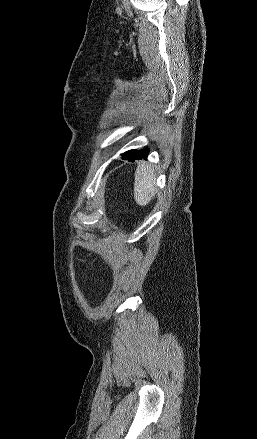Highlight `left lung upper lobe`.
<instances>
[{
  "mask_svg": "<svg viewBox=\"0 0 257 439\" xmlns=\"http://www.w3.org/2000/svg\"><path fill=\"white\" fill-rule=\"evenodd\" d=\"M132 151H133V150H129V151H127V152H125L124 154H121V155H122V157H123V156H127V155H129Z\"/></svg>",
  "mask_w": 257,
  "mask_h": 439,
  "instance_id": "5c2ea615",
  "label": "left lung upper lobe"
}]
</instances>
